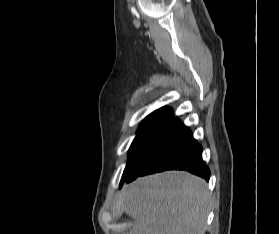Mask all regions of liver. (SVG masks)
Segmentation results:
<instances>
[{
  "mask_svg": "<svg viewBox=\"0 0 279 234\" xmlns=\"http://www.w3.org/2000/svg\"><path fill=\"white\" fill-rule=\"evenodd\" d=\"M209 202L202 178L167 171L126 186L122 208L134 222L128 234H204Z\"/></svg>",
  "mask_w": 279,
  "mask_h": 234,
  "instance_id": "obj_1",
  "label": "liver"
}]
</instances>
